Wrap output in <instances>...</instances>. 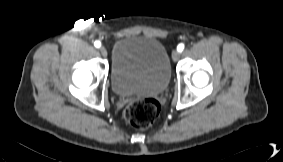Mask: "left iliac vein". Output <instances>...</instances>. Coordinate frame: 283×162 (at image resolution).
<instances>
[{"label": "left iliac vein", "mask_w": 283, "mask_h": 162, "mask_svg": "<svg viewBox=\"0 0 283 162\" xmlns=\"http://www.w3.org/2000/svg\"><path fill=\"white\" fill-rule=\"evenodd\" d=\"M179 56H180V52L178 50H173L172 51V59L173 61H177L179 59Z\"/></svg>", "instance_id": "4c4485c4"}]
</instances>
